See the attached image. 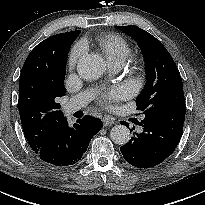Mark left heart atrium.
Instances as JSON below:
<instances>
[{
	"instance_id": "left-heart-atrium-1",
	"label": "left heart atrium",
	"mask_w": 205,
	"mask_h": 205,
	"mask_svg": "<svg viewBox=\"0 0 205 205\" xmlns=\"http://www.w3.org/2000/svg\"><path fill=\"white\" fill-rule=\"evenodd\" d=\"M129 93L130 89L127 85L115 86L103 94L101 101L107 103L113 100L123 99L126 98Z\"/></svg>"
}]
</instances>
